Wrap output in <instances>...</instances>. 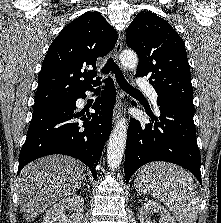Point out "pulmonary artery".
Returning a JSON list of instances; mask_svg holds the SVG:
<instances>
[{
	"label": "pulmonary artery",
	"mask_w": 221,
	"mask_h": 223,
	"mask_svg": "<svg viewBox=\"0 0 221 223\" xmlns=\"http://www.w3.org/2000/svg\"><path fill=\"white\" fill-rule=\"evenodd\" d=\"M137 86L139 88L145 90V92L149 96L151 102L156 106L158 95H157L156 91L150 86L149 82L145 79H141V80L137 81ZM156 109L158 110L157 107H156Z\"/></svg>",
	"instance_id": "1"
}]
</instances>
